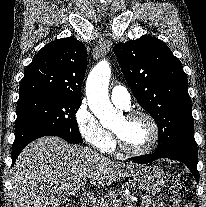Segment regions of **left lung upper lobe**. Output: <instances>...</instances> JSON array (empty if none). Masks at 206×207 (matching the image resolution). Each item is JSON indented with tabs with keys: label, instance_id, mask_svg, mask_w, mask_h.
I'll use <instances>...</instances> for the list:
<instances>
[{
	"label": "left lung upper lobe",
	"instance_id": "5c2ea615",
	"mask_svg": "<svg viewBox=\"0 0 206 207\" xmlns=\"http://www.w3.org/2000/svg\"><path fill=\"white\" fill-rule=\"evenodd\" d=\"M113 49L134 96L157 122L155 152H197L187 76L179 59L163 41L147 35Z\"/></svg>",
	"mask_w": 206,
	"mask_h": 207
}]
</instances>
